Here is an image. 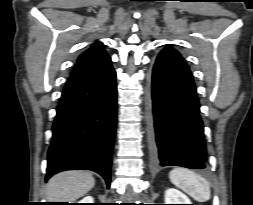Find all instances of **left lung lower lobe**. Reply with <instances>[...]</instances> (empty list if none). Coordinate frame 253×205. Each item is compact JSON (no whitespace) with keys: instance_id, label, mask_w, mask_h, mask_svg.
I'll return each instance as SVG.
<instances>
[{"instance_id":"left-lung-lower-lobe-1","label":"left lung lower lobe","mask_w":253,"mask_h":205,"mask_svg":"<svg viewBox=\"0 0 253 205\" xmlns=\"http://www.w3.org/2000/svg\"><path fill=\"white\" fill-rule=\"evenodd\" d=\"M151 152L155 164L206 168V145L192 73L181 54L168 46L151 75Z\"/></svg>"}]
</instances>
